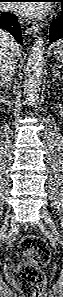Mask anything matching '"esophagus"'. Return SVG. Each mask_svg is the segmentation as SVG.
Segmentation results:
<instances>
[{
  "instance_id": "34e87169",
  "label": "esophagus",
  "mask_w": 63,
  "mask_h": 297,
  "mask_svg": "<svg viewBox=\"0 0 63 297\" xmlns=\"http://www.w3.org/2000/svg\"><path fill=\"white\" fill-rule=\"evenodd\" d=\"M25 27L28 34L36 35L39 32V26L35 21L26 20Z\"/></svg>"
}]
</instances>
